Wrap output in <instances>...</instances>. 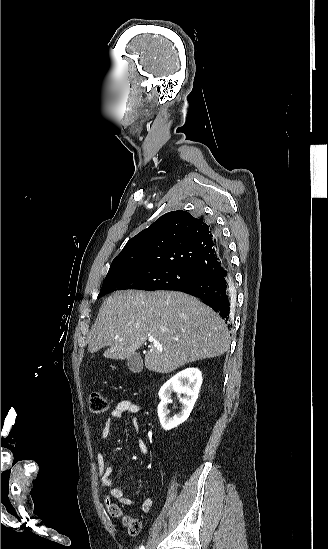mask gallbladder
Here are the masks:
<instances>
[{"instance_id":"1","label":"gallbladder","mask_w":328,"mask_h":549,"mask_svg":"<svg viewBox=\"0 0 328 549\" xmlns=\"http://www.w3.org/2000/svg\"><path fill=\"white\" fill-rule=\"evenodd\" d=\"M127 367L132 373H141L143 369V361L139 353H134L131 357L127 359Z\"/></svg>"}]
</instances>
